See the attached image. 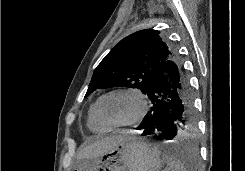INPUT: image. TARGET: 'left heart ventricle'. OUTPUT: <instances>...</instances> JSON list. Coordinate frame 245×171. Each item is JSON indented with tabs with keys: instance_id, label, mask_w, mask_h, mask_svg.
<instances>
[{
	"instance_id": "b2bd125f",
	"label": "left heart ventricle",
	"mask_w": 245,
	"mask_h": 171,
	"mask_svg": "<svg viewBox=\"0 0 245 171\" xmlns=\"http://www.w3.org/2000/svg\"><path fill=\"white\" fill-rule=\"evenodd\" d=\"M138 102L129 94H114L106 97L100 107L103 118L110 123L129 120L137 111Z\"/></svg>"
}]
</instances>
